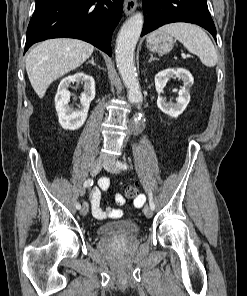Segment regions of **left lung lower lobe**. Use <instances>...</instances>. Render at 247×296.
<instances>
[{
    "instance_id": "1",
    "label": "left lung lower lobe",
    "mask_w": 247,
    "mask_h": 296,
    "mask_svg": "<svg viewBox=\"0 0 247 296\" xmlns=\"http://www.w3.org/2000/svg\"><path fill=\"white\" fill-rule=\"evenodd\" d=\"M144 23L141 36L173 22L197 24L216 40V28L206 0H143Z\"/></svg>"
}]
</instances>
